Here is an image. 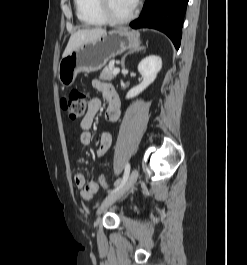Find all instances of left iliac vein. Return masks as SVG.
Returning <instances> with one entry per match:
<instances>
[{
  "instance_id": "left-iliac-vein-1",
  "label": "left iliac vein",
  "mask_w": 247,
  "mask_h": 265,
  "mask_svg": "<svg viewBox=\"0 0 247 265\" xmlns=\"http://www.w3.org/2000/svg\"><path fill=\"white\" fill-rule=\"evenodd\" d=\"M137 178H138V171L136 169H133L130 175L128 176L126 182L116 192L110 194L103 200V202L98 208L97 214H101L115 201H117L122 196H124L136 183Z\"/></svg>"
}]
</instances>
